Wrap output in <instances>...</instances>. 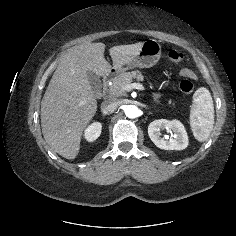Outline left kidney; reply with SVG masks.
Returning <instances> with one entry per match:
<instances>
[{
    "label": "left kidney",
    "instance_id": "5707ae66",
    "mask_svg": "<svg viewBox=\"0 0 236 236\" xmlns=\"http://www.w3.org/2000/svg\"><path fill=\"white\" fill-rule=\"evenodd\" d=\"M163 130L171 134L170 138L162 136ZM148 134L152 142L160 149L183 150L188 146L187 132L178 120H155L149 124Z\"/></svg>",
    "mask_w": 236,
    "mask_h": 236
}]
</instances>
